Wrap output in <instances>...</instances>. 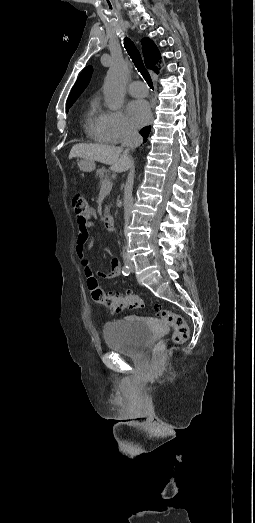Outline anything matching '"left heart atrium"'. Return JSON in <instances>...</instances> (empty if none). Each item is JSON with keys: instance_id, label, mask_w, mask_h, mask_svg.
<instances>
[{"instance_id": "1", "label": "left heart atrium", "mask_w": 255, "mask_h": 523, "mask_svg": "<svg viewBox=\"0 0 255 523\" xmlns=\"http://www.w3.org/2000/svg\"><path fill=\"white\" fill-rule=\"evenodd\" d=\"M128 116L135 125H142L147 122L150 116L148 102L142 99L132 101L128 106Z\"/></svg>"}]
</instances>
